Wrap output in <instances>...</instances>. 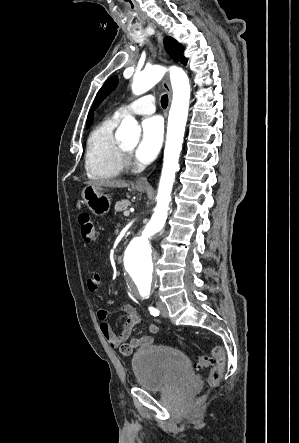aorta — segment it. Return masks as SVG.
I'll return each mask as SVG.
<instances>
[{"label":"aorta","instance_id":"aorta-1","mask_svg":"<svg viewBox=\"0 0 299 443\" xmlns=\"http://www.w3.org/2000/svg\"><path fill=\"white\" fill-rule=\"evenodd\" d=\"M167 69L152 66L135 74L132 91L143 94L156 85ZM170 80L173 99L168 117L167 137L163 167L157 192V205L147 225L130 241L124 254V267L131 279V291L137 298H149L154 289L155 257L151 240L163 229L169 205L175 174L179 170V157L182 150L185 126L188 117L190 85L187 74L179 67H170ZM141 128L132 116L125 117L116 131L119 140L136 144Z\"/></svg>","mask_w":299,"mask_h":443}]
</instances>
